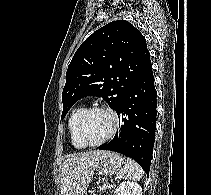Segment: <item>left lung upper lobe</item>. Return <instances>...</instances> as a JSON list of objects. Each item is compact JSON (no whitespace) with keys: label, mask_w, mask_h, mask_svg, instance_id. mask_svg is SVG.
<instances>
[{"label":"left lung upper lobe","mask_w":211,"mask_h":195,"mask_svg":"<svg viewBox=\"0 0 211 195\" xmlns=\"http://www.w3.org/2000/svg\"><path fill=\"white\" fill-rule=\"evenodd\" d=\"M150 62L145 37L128 21L98 29L77 49L68 66L61 119L86 96L102 97L117 110Z\"/></svg>","instance_id":"1"}]
</instances>
